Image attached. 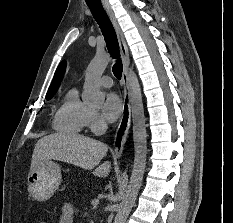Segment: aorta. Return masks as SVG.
Masks as SVG:
<instances>
[{"instance_id":"aorta-1","label":"aorta","mask_w":233,"mask_h":223,"mask_svg":"<svg viewBox=\"0 0 233 223\" xmlns=\"http://www.w3.org/2000/svg\"><path fill=\"white\" fill-rule=\"evenodd\" d=\"M109 58H94L85 72L82 100L88 106H103L105 94L101 90L100 78L107 68ZM131 110L133 117L134 163L130 181L122 199L121 213L132 207L142 185L146 165L147 141L145 115L138 78L132 70L129 72Z\"/></svg>"}]
</instances>
